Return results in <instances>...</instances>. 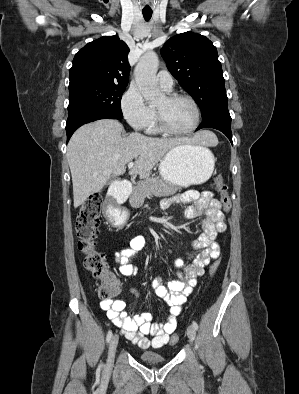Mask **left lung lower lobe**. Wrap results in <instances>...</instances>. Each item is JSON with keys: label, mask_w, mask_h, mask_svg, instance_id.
Returning <instances> with one entry per match:
<instances>
[{"label": "left lung lower lobe", "mask_w": 299, "mask_h": 394, "mask_svg": "<svg viewBox=\"0 0 299 394\" xmlns=\"http://www.w3.org/2000/svg\"><path fill=\"white\" fill-rule=\"evenodd\" d=\"M202 128H214L223 132L228 139L232 142V133H231V116L228 110L218 111L209 117L203 119V122L198 126L196 130Z\"/></svg>", "instance_id": "0a47b994"}]
</instances>
